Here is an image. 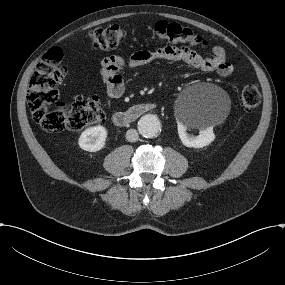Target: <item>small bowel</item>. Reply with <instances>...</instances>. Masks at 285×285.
<instances>
[{
	"label": "small bowel",
	"instance_id": "small-bowel-1",
	"mask_svg": "<svg viewBox=\"0 0 285 285\" xmlns=\"http://www.w3.org/2000/svg\"><path fill=\"white\" fill-rule=\"evenodd\" d=\"M159 60L185 62L195 69L214 72L220 77L230 76L233 65L227 60L226 50L214 46L212 56L202 57L188 46H164L156 50H140L132 54L129 60L120 56H109L101 61L100 75L107 94L112 98L120 97L124 92V81L121 73L126 69H135Z\"/></svg>",
	"mask_w": 285,
	"mask_h": 285
}]
</instances>
